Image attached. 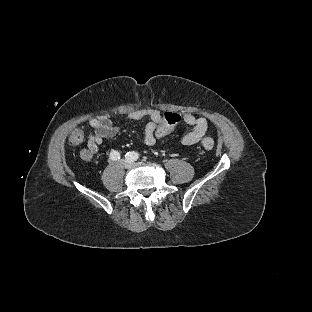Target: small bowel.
<instances>
[{
    "label": "small bowel",
    "mask_w": 312,
    "mask_h": 312,
    "mask_svg": "<svg viewBox=\"0 0 312 312\" xmlns=\"http://www.w3.org/2000/svg\"><path fill=\"white\" fill-rule=\"evenodd\" d=\"M182 114L184 123L191 127V130L182 137V143L187 146L199 143L206 136L208 130L207 118L204 116L197 117L191 112H183ZM163 117L162 111L152 108L132 110L126 114L127 120L148 119L144 129V142L148 146L155 145L157 141L151 137V125L157 121L163 122ZM88 126L92 129V132L89 135L87 147L80 152V158L85 162L93 159L103 140L112 138L118 133V127L106 115L91 118L88 121Z\"/></svg>",
    "instance_id": "1"
}]
</instances>
